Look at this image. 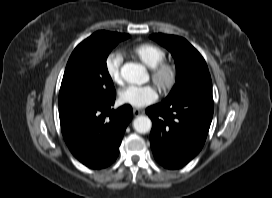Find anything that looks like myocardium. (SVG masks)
I'll return each instance as SVG.
<instances>
[{
	"label": "myocardium",
	"mask_w": 272,
	"mask_h": 198,
	"mask_svg": "<svg viewBox=\"0 0 272 198\" xmlns=\"http://www.w3.org/2000/svg\"><path fill=\"white\" fill-rule=\"evenodd\" d=\"M150 77L161 93L169 92L177 81L175 64L162 60L150 69Z\"/></svg>",
	"instance_id": "1"
}]
</instances>
